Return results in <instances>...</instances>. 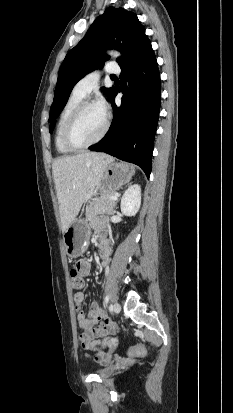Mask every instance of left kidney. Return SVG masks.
I'll list each match as a JSON object with an SVG mask.
<instances>
[{"mask_svg":"<svg viewBox=\"0 0 233 413\" xmlns=\"http://www.w3.org/2000/svg\"><path fill=\"white\" fill-rule=\"evenodd\" d=\"M141 205V188L138 184L130 186L121 198V212L125 216H134Z\"/></svg>","mask_w":233,"mask_h":413,"instance_id":"left-kidney-1","label":"left kidney"}]
</instances>
